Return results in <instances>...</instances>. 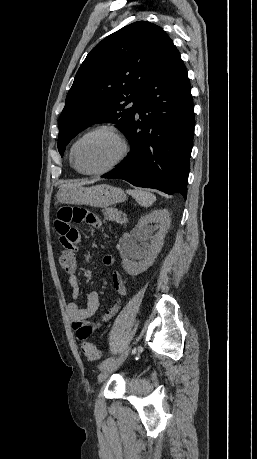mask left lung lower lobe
I'll return each instance as SVG.
<instances>
[{
	"label": "left lung lower lobe",
	"instance_id": "obj_1",
	"mask_svg": "<svg viewBox=\"0 0 257 459\" xmlns=\"http://www.w3.org/2000/svg\"><path fill=\"white\" fill-rule=\"evenodd\" d=\"M129 155L103 178L187 197L194 111L187 70L174 47L167 61L138 98L124 133Z\"/></svg>",
	"mask_w": 257,
	"mask_h": 459
}]
</instances>
